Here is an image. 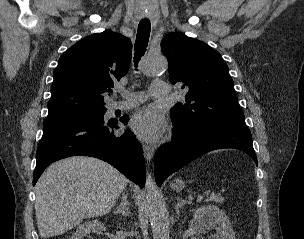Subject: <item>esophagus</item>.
Listing matches in <instances>:
<instances>
[{
  "label": "esophagus",
  "mask_w": 304,
  "mask_h": 239,
  "mask_svg": "<svg viewBox=\"0 0 304 239\" xmlns=\"http://www.w3.org/2000/svg\"><path fill=\"white\" fill-rule=\"evenodd\" d=\"M143 152L148 161H151L154 157V147L151 145L143 144Z\"/></svg>",
  "instance_id": "34e87169"
}]
</instances>
